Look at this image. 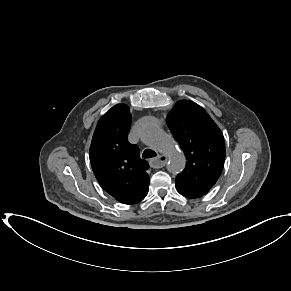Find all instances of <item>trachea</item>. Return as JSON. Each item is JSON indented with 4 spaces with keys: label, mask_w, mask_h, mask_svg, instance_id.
Wrapping results in <instances>:
<instances>
[{
    "label": "trachea",
    "mask_w": 291,
    "mask_h": 291,
    "mask_svg": "<svg viewBox=\"0 0 291 291\" xmlns=\"http://www.w3.org/2000/svg\"><path fill=\"white\" fill-rule=\"evenodd\" d=\"M157 154L151 150V149H146L143 154H142V157L143 158H152V157H155Z\"/></svg>",
    "instance_id": "3493384b"
}]
</instances>
